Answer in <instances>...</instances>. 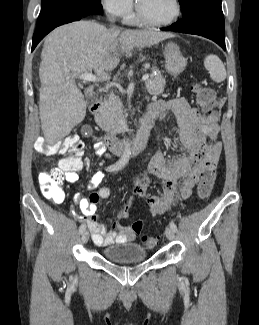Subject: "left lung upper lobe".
I'll return each mask as SVG.
<instances>
[{
	"label": "left lung upper lobe",
	"instance_id": "left-lung-upper-lobe-1",
	"mask_svg": "<svg viewBox=\"0 0 259 325\" xmlns=\"http://www.w3.org/2000/svg\"><path fill=\"white\" fill-rule=\"evenodd\" d=\"M221 1L222 0H179V3L182 7V17L189 14L191 12L192 8L197 3H210V4L217 5V6H221Z\"/></svg>",
	"mask_w": 259,
	"mask_h": 325
}]
</instances>
